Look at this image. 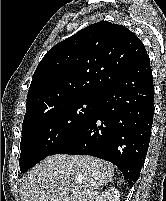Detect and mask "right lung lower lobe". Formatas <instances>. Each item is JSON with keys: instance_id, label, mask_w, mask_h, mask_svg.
<instances>
[{"instance_id": "98d812e1", "label": "right lung lower lobe", "mask_w": 166, "mask_h": 201, "mask_svg": "<svg viewBox=\"0 0 166 201\" xmlns=\"http://www.w3.org/2000/svg\"><path fill=\"white\" fill-rule=\"evenodd\" d=\"M148 54L98 95L93 115L50 155H91L115 164L132 187L146 157L154 113Z\"/></svg>"}]
</instances>
